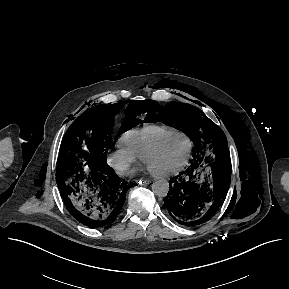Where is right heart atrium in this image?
<instances>
[{
	"label": "right heart atrium",
	"instance_id": "obj_1",
	"mask_svg": "<svg viewBox=\"0 0 289 289\" xmlns=\"http://www.w3.org/2000/svg\"><path fill=\"white\" fill-rule=\"evenodd\" d=\"M107 163L120 176H127L138 162V157L122 144L106 156Z\"/></svg>",
	"mask_w": 289,
	"mask_h": 289
}]
</instances>
